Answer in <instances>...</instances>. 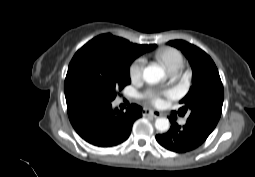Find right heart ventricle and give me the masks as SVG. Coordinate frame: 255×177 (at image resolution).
<instances>
[{
  "label": "right heart ventricle",
  "instance_id": "obj_1",
  "mask_svg": "<svg viewBox=\"0 0 255 177\" xmlns=\"http://www.w3.org/2000/svg\"><path fill=\"white\" fill-rule=\"evenodd\" d=\"M155 58L172 76H175L183 68L185 63L182 52L177 48L170 46L159 48L155 52Z\"/></svg>",
  "mask_w": 255,
  "mask_h": 177
}]
</instances>
